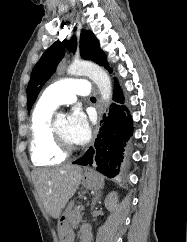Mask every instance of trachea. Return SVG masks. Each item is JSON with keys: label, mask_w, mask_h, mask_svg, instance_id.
I'll use <instances>...</instances> for the list:
<instances>
[{"label": "trachea", "mask_w": 187, "mask_h": 242, "mask_svg": "<svg viewBox=\"0 0 187 242\" xmlns=\"http://www.w3.org/2000/svg\"><path fill=\"white\" fill-rule=\"evenodd\" d=\"M91 99L95 100L96 98L95 97H91Z\"/></svg>", "instance_id": "1"}]
</instances>
